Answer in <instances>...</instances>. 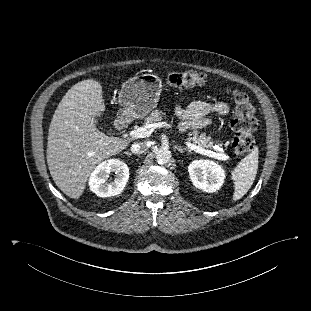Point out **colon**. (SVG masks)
Here are the masks:
<instances>
[{
    "mask_svg": "<svg viewBox=\"0 0 311 311\" xmlns=\"http://www.w3.org/2000/svg\"><path fill=\"white\" fill-rule=\"evenodd\" d=\"M166 82L173 88L184 89L205 84L206 76L193 70L175 72L167 76ZM232 99L234 102V118L231 127L237 133L232 145L236 153L245 154L250 152L255 144L253 132L258 126L255 107L249 96L241 90H233Z\"/></svg>",
    "mask_w": 311,
    "mask_h": 311,
    "instance_id": "1",
    "label": "colon"
}]
</instances>
